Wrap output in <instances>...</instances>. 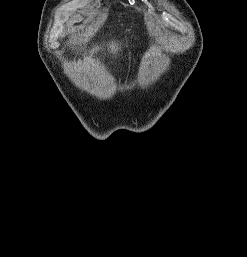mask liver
Returning a JSON list of instances; mask_svg holds the SVG:
<instances>
[{
	"instance_id": "liver-1",
	"label": "liver",
	"mask_w": 247,
	"mask_h": 257,
	"mask_svg": "<svg viewBox=\"0 0 247 257\" xmlns=\"http://www.w3.org/2000/svg\"><path fill=\"white\" fill-rule=\"evenodd\" d=\"M110 48H111V51L113 52L114 51V53L118 50V46H116V44H112L111 46H110ZM94 51V50H93Z\"/></svg>"
}]
</instances>
